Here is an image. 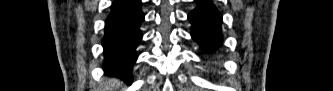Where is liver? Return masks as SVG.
<instances>
[{
  "instance_id": "1",
  "label": "liver",
  "mask_w": 333,
  "mask_h": 91,
  "mask_svg": "<svg viewBox=\"0 0 333 91\" xmlns=\"http://www.w3.org/2000/svg\"><path fill=\"white\" fill-rule=\"evenodd\" d=\"M118 84H119L118 81H116L114 79H110L104 83V85L106 86V89H108V91H112V89L114 87H117Z\"/></svg>"
}]
</instances>
